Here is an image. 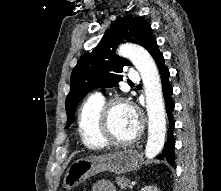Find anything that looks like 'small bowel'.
Segmentation results:
<instances>
[{"label":"small bowel","mask_w":221,"mask_h":191,"mask_svg":"<svg viewBox=\"0 0 221 191\" xmlns=\"http://www.w3.org/2000/svg\"><path fill=\"white\" fill-rule=\"evenodd\" d=\"M92 191H117V190L111 182L103 180L97 182L93 186Z\"/></svg>","instance_id":"small-bowel-1"}]
</instances>
